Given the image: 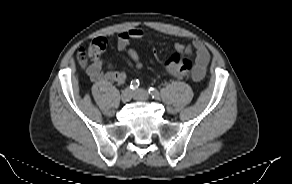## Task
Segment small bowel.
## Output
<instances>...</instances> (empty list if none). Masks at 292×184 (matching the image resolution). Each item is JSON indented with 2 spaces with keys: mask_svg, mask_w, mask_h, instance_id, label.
I'll return each instance as SVG.
<instances>
[{
  "mask_svg": "<svg viewBox=\"0 0 292 184\" xmlns=\"http://www.w3.org/2000/svg\"><path fill=\"white\" fill-rule=\"evenodd\" d=\"M145 33L140 28H132L122 31L118 35L117 48L119 51L123 52L128 62L141 69L143 63L140 60L138 53L129 47L131 40H138L144 37ZM175 50L186 55L194 54L195 66L192 71V78L195 81L201 80L206 73L207 65L210 60V55L203 43L200 41H195L190 45L176 44ZM104 61L101 58H97L94 62L87 68V74L93 82L96 83H107L116 82L123 83L126 80V72L124 70H114L110 64H108L107 70H103ZM167 72L175 77H179L177 70L174 67H167Z\"/></svg>",
  "mask_w": 292,
  "mask_h": 184,
  "instance_id": "small-bowel-1",
  "label": "small bowel"
}]
</instances>
